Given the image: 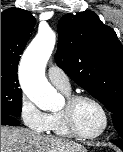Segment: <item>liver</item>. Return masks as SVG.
<instances>
[{
    "mask_svg": "<svg viewBox=\"0 0 123 152\" xmlns=\"http://www.w3.org/2000/svg\"><path fill=\"white\" fill-rule=\"evenodd\" d=\"M1 152H87L80 144L26 128L1 126Z\"/></svg>",
    "mask_w": 123,
    "mask_h": 152,
    "instance_id": "liver-1",
    "label": "liver"
}]
</instances>
